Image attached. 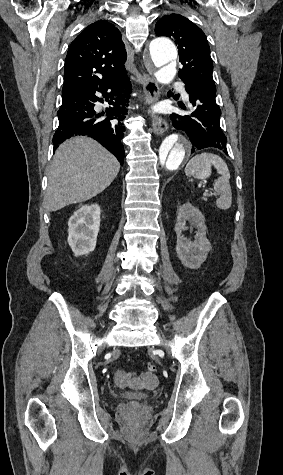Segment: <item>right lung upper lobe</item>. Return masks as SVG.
<instances>
[{
  "label": "right lung upper lobe",
  "mask_w": 283,
  "mask_h": 475,
  "mask_svg": "<svg viewBox=\"0 0 283 475\" xmlns=\"http://www.w3.org/2000/svg\"><path fill=\"white\" fill-rule=\"evenodd\" d=\"M126 58L121 33L113 24L104 20L90 24L68 49L63 90L105 84L126 77Z\"/></svg>",
  "instance_id": "1"
}]
</instances>
